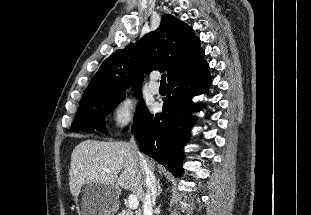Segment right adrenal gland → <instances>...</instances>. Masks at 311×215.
<instances>
[{"mask_svg": "<svg viewBox=\"0 0 311 215\" xmlns=\"http://www.w3.org/2000/svg\"><path fill=\"white\" fill-rule=\"evenodd\" d=\"M162 193V188L160 186V180L158 179L157 181V193H156V197L160 196V194Z\"/></svg>", "mask_w": 311, "mask_h": 215, "instance_id": "1", "label": "right adrenal gland"}]
</instances>
